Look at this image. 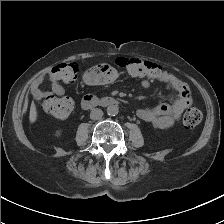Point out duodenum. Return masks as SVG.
I'll return each instance as SVG.
<instances>
[{
	"mask_svg": "<svg viewBox=\"0 0 224 224\" xmlns=\"http://www.w3.org/2000/svg\"><path fill=\"white\" fill-rule=\"evenodd\" d=\"M119 104V101L114 97H94L89 96L84 98L81 102V108L84 110H88L94 106H101V107H111L116 106Z\"/></svg>",
	"mask_w": 224,
	"mask_h": 224,
	"instance_id": "duodenum-1",
	"label": "duodenum"
}]
</instances>
